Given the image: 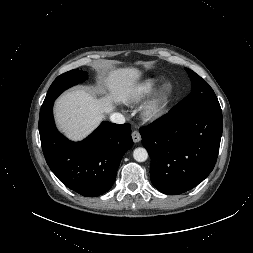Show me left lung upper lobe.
I'll return each mask as SVG.
<instances>
[{
    "mask_svg": "<svg viewBox=\"0 0 253 253\" xmlns=\"http://www.w3.org/2000/svg\"><path fill=\"white\" fill-rule=\"evenodd\" d=\"M191 82V93L180 101L172 111L185 112L196 110L221 111L218 99L212 88L194 71L185 68Z\"/></svg>",
    "mask_w": 253,
    "mask_h": 253,
    "instance_id": "obj_1",
    "label": "left lung upper lobe"
}]
</instances>
